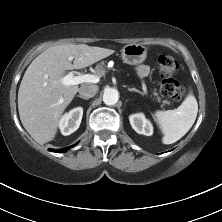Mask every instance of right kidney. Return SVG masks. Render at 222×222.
<instances>
[{
  "label": "right kidney",
  "instance_id": "1",
  "mask_svg": "<svg viewBox=\"0 0 222 222\" xmlns=\"http://www.w3.org/2000/svg\"><path fill=\"white\" fill-rule=\"evenodd\" d=\"M82 116V107H76L68 113H65L59 121V128L62 135L67 136L75 132L80 126Z\"/></svg>",
  "mask_w": 222,
  "mask_h": 222
}]
</instances>
